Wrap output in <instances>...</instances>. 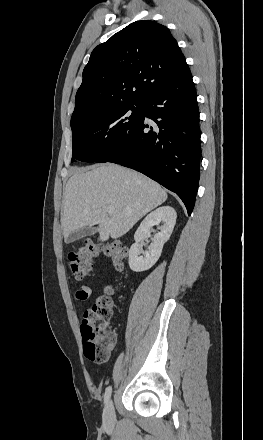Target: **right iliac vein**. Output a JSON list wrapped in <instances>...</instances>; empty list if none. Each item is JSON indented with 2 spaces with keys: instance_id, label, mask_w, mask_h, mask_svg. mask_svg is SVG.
Segmentation results:
<instances>
[{
  "instance_id": "obj_1",
  "label": "right iliac vein",
  "mask_w": 263,
  "mask_h": 440,
  "mask_svg": "<svg viewBox=\"0 0 263 440\" xmlns=\"http://www.w3.org/2000/svg\"><path fill=\"white\" fill-rule=\"evenodd\" d=\"M115 421L116 418H115L113 402L112 400H109L104 408L103 423L106 427L111 428L115 425Z\"/></svg>"
}]
</instances>
